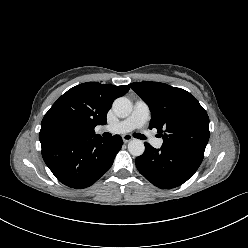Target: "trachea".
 I'll return each mask as SVG.
<instances>
[{
	"mask_svg": "<svg viewBox=\"0 0 248 248\" xmlns=\"http://www.w3.org/2000/svg\"><path fill=\"white\" fill-rule=\"evenodd\" d=\"M105 136L110 137L111 134H110V133H105ZM134 137H136V138H138V139H141V140H144V139H145V136L142 135V134H140V133H135V134H134Z\"/></svg>",
	"mask_w": 248,
	"mask_h": 248,
	"instance_id": "obj_1",
	"label": "trachea"
}]
</instances>
